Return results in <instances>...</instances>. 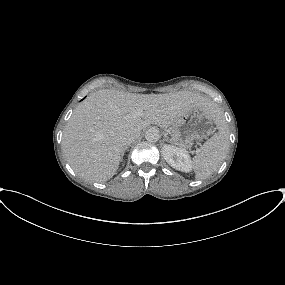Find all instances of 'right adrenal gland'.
I'll return each mask as SVG.
<instances>
[{
	"instance_id": "2a0ac1e0",
	"label": "right adrenal gland",
	"mask_w": 285,
	"mask_h": 285,
	"mask_svg": "<svg viewBox=\"0 0 285 285\" xmlns=\"http://www.w3.org/2000/svg\"><path fill=\"white\" fill-rule=\"evenodd\" d=\"M126 150H128V147H125L123 149L122 154H121V161L123 160V156H124V153H125Z\"/></svg>"
}]
</instances>
